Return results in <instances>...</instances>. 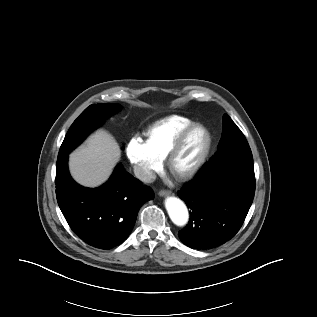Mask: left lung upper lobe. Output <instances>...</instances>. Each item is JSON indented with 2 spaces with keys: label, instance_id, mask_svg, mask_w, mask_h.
<instances>
[{
  "label": "left lung upper lobe",
  "instance_id": "1",
  "mask_svg": "<svg viewBox=\"0 0 317 317\" xmlns=\"http://www.w3.org/2000/svg\"><path fill=\"white\" fill-rule=\"evenodd\" d=\"M227 157H240L253 161L252 152L245 136L231 118L224 114L222 137L218 151L212 159L223 160Z\"/></svg>",
  "mask_w": 317,
  "mask_h": 317
}]
</instances>
